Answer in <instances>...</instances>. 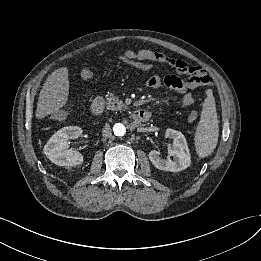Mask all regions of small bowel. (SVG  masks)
<instances>
[{"label":"small bowel","mask_w":261,"mask_h":261,"mask_svg":"<svg viewBox=\"0 0 261 261\" xmlns=\"http://www.w3.org/2000/svg\"><path fill=\"white\" fill-rule=\"evenodd\" d=\"M122 60L141 69H151L158 62L172 65L176 59L164 53H156L148 49H142L138 51L126 50ZM92 76V69H83L82 78L84 80H89ZM148 86L151 89H160L162 87H166L179 93L182 96L180 102V106L182 108H187L195 102V99L189 90H193L197 87H194L188 82L183 81L177 75H167L165 77H160L159 75L154 74L149 78Z\"/></svg>","instance_id":"1"}]
</instances>
